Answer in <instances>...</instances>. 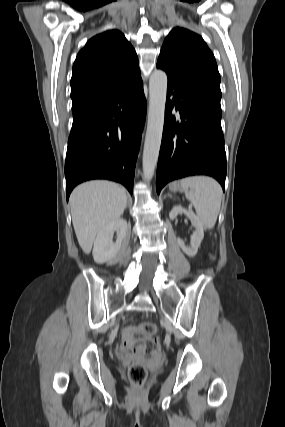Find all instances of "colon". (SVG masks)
I'll use <instances>...</instances> for the list:
<instances>
[{"mask_svg": "<svg viewBox=\"0 0 285 427\" xmlns=\"http://www.w3.org/2000/svg\"><path fill=\"white\" fill-rule=\"evenodd\" d=\"M156 332L157 326L153 322L146 321L128 326L123 331L124 345L134 353L158 355L161 348L155 337ZM128 376L135 386H142L147 378V370L142 364L134 362L129 367Z\"/></svg>", "mask_w": 285, "mask_h": 427, "instance_id": "1", "label": "colon"}]
</instances>
